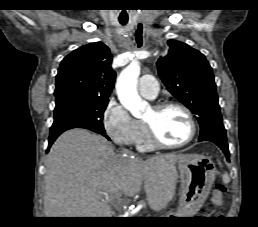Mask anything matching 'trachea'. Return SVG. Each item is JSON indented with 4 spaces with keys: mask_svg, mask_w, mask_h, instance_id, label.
<instances>
[{
    "mask_svg": "<svg viewBox=\"0 0 258 227\" xmlns=\"http://www.w3.org/2000/svg\"><path fill=\"white\" fill-rule=\"evenodd\" d=\"M120 21V23L122 24V25H126V23H127V20H119Z\"/></svg>",
    "mask_w": 258,
    "mask_h": 227,
    "instance_id": "obj_1",
    "label": "trachea"
}]
</instances>
